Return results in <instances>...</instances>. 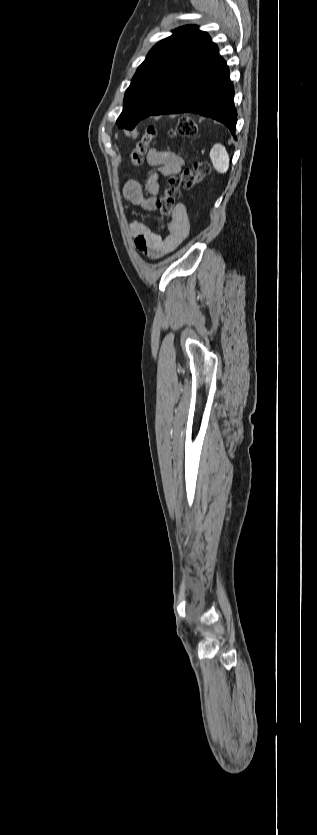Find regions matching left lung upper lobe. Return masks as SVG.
Here are the masks:
<instances>
[{
    "label": "left lung upper lobe",
    "instance_id": "left-lung-upper-lobe-1",
    "mask_svg": "<svg viewBox=\"0 0 317 835\" xmlns=\"http://www.w3.org/2000/svg\"><path fill=\"white\" fill-rule=\"evenodd\" d=\"M210 43L207 33L188 25L156 44L138 67L125 93L123 111L116 122L118 126L131 130L150 116Z\"/></svg>",
    "mask_w": 317,
    "mask_h": 835
}]
</instances>
